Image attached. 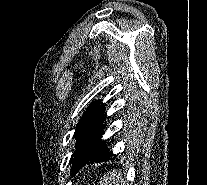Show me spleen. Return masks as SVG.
<instances>
[{
    "mask_svg": "<svg viewBox=\"0 0 207 185\" xmlns=\"http://www.w3.org/2000/svg\"><path fill=\"white\" fill-rule=\"evenodd\" d=\"M123 177H129V172H121V170H112V174H107V185H116L122 183Z\"/></svg>",
    "mask_w": 207,
    "mask_h": 185,
    "instance_id": "spleen-1",
    "label": "spleen"
}]
</instances>
